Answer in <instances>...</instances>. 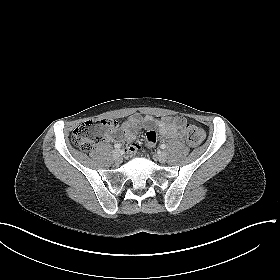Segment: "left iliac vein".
Masks as SVG:
<instances>
[{
    "label": "left iliac vein",
    "instance_id": "1",
    "mask_svg": "<svg viewBox=\"0 0 280 280\" xmlns=\"http://www.w3.org/2000/svg\"><path fill=\"white\" fill-rule=\"evenodd\" d=\"M155 157L160 163H165L167 161V154L165 152H160L156 154Z\"/></svg>",
    "mask_w": 280,
    "mask_h": 280
}]
</instances>
